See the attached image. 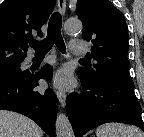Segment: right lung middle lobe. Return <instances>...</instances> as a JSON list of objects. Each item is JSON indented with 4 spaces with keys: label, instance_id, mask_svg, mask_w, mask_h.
I'll list each match as a JSON object with an SVG mask.
<instances>
[{
    "label": "right lung middle lobe",
    "instance_id": "right-lung-middle-lobe-1",
    "mask_svg": "<svg viewBox=\"0 0 144 137\" xmlns=\"http://www.w3.org/2000/svg\"><path fill=\"white\" fill-rule=\"evenodd\" d=\"M26 72H27V70L21 71L20 63H19V64L12 66V67L7 68V69L0 70V78H2V77H15V76H19L21 74H24Z\"/></svg>",
    "mask_w": 144,
    "mask_h": 137
}]
</instances>
